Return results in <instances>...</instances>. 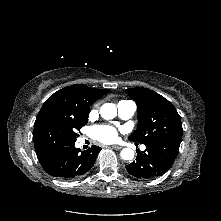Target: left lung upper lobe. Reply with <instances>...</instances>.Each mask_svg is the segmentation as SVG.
<instances>
[{"mask_svg": "<svg viewBox=\"0 0 221 221\" xmlns=\"http://www.w3.org/2000/svg\"><path fill=\"white\" fill-rule=\"evenodd\" d=\"M138 108V125L129 140L147 144L163 140L181 142L183 130L174 105L158 93L143 87L126 89Z\"/></svg>", "mask_w": 221, "mask_h": 221, "instance_id": "obj_1", "label": "left lung upper lobe"}]
</instances>
